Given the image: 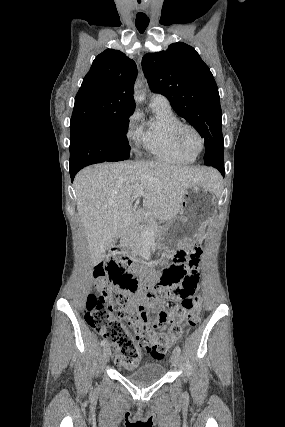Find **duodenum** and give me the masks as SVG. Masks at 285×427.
<instances>
[{"mask_svg":"<svg viewBox=\"0 0 285 427\" xmlns=\"http://www.w3.org/2000/svg\"><path fill=\"white\" fill-rule=\"evenodd\" d=\"M122 228L123 229H131V230H133L135 232H141L142 231V228L140 226H137V225H134V224H131V225H122Z\"/></svg>","mask_w":285,"mask_h":427,"instance_id":"obj_1","label":"duodenum"}]
</instances>
